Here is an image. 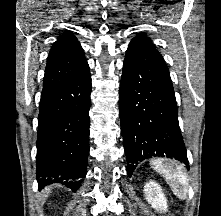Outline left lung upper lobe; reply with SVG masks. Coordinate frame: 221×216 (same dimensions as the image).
<instances>
[{"label":"left lung upper lobe","mask_w":221,"mask_h":216,"mask_svg":"<svg viewBox=\"0 0 221 216\" xmlns=\"http://www.w3.org/2000/svg\"><path fill=\"white\" fill-rule=\"evenodd\" d=\"M131 42H135V43H141L144 45H148L152 48H154L155 50H157L154 46V44H152V42L150 41V38L147 37L146 34L144 33H139L136 37H134Z\"/></svg>","instance_id":"5c2ea615"}]
</instances>
